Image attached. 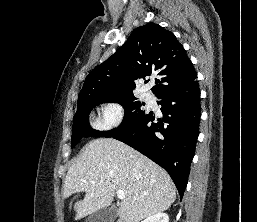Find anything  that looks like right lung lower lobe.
<instances>
[{"label": "right lung lower lobe", "instance_id": "right-lung-lower-lobe-1", "mask_svg": "<svg viewBox=\"0 0 257 222\" xmlns=\"http://www.w3.org/2000/svg\"><path fill=\"white\" fill-rule=\"evenodd\" d=\"M197 76L155 95L162 116L146 112L128 129L112 136L163 167L183 197L199 135L200 90ZM155 120V122H153Z\"/></svg>", "mask_w": 257, "mask_h": 222}]
</instances>
